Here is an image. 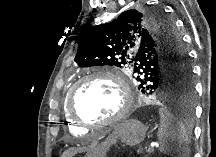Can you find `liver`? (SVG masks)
Masks as SVG:
<instances>
[{
	"mask_svg": "<svg viewBox=\"0 0 216 157\" xmlns=\"http://www.w3.org/2000/svg\"><path fill=\"white\" fill-rule=\"evenodd\" d=\"M91 148V147H90ZM90 148H78V149H70L68 151H65L63 154H62V157H72L74 156L75 154L77 153H80V152H84L86 150H89Z\"/></svg>",
	"mask_w": 216,
	"mask_h": 157,
	"instance_id": "1",
	"label": "liver"
}]
</instances>
